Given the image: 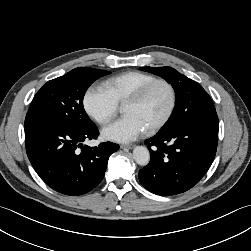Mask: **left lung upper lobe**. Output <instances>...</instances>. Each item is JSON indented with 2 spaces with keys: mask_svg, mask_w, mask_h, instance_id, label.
<instances>
[{
  "mask_svg": "<svg viewBox=\"0 0 251 251\" xmlns=\"http://www.w3.org/2000/svg\"><path fill=\"white\" fill-rule=\"evenodd\" d=\"M140 69L163 77L172 84L175 90L176 106L170 120L162 128L161 131L163 132L172 130L182 124L186 120L187 113L185 112L190 110L200 97H209L199 83L187 78L171 67H141Z\"/></svg>",
  "mask_w": 251,
  "mask_h": 251,
  "instance_id": "1",
  "label": "left lung upper lobe"
}]
</instances>
